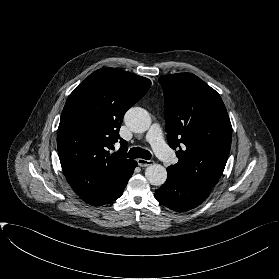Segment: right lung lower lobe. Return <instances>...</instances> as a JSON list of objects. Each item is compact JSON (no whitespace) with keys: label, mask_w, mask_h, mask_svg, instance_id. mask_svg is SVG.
Masks as SVG:
<instances>
[{"label":"right lung lower lobe","mask_w":279,"mask_h":279,"mask_svg":"<svg viewBox=\"0 0 279 279\" xmlns=\"http://www.w3.org/2000/svg\"><path fill=\"white\" fill-rule=\"evenodd\" d=\"M137 166V163L135 165V167ZM134 167V168H135ZM134 170V169H133ZM133 170L132 172L128 175V177L124 180V182L115 190L113 191L112 193H110L108 196L102 198L101 200L91 204V205H102V204H106V203H109V202H112L116 199H118L123 191H124V188L126 187L127 183H128V180L130 179V177L132 176L133 174Z\"/></svg>","instance_id":"1"}]
</instances>
